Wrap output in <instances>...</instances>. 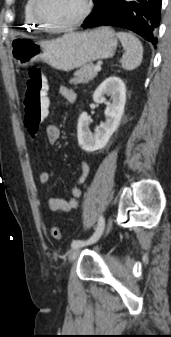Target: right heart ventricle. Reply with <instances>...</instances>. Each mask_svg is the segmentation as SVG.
<instances>
[{"mask_svg":"<svg viewBox=\"0 0 171 337\" xmlns=\"http://www.w3.org/2000/svg\"><path fill=\"white\" fill-rule=\"evenodd\" d=\"M35 0H26L23 8L24 25L27 29L43 30L34 15Z\"/></svg>","mask_w":171,"mask_h":337,"instance_id":"right-heart-ventricle-1","label":"right heart ventricle"}]
</instances>
